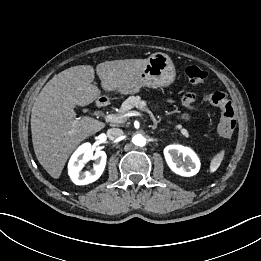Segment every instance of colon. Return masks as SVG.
<instances>
[{
	"label": "colon",
	"mask_w": 261,
	"mask_h": 261,
	"mask_svg": "<svg viewBox=\"0 0 261 261\" xmlns=\"http://www.w3.org/2000/svg\"><path fill=\"white\" fill-rule=\"evenodd\" d=\"M185 73L189 82L193 85H201L207 77V73L195 65L188 66ZM204 98L220 109L221 117L218 125V134L224 140H229L236 125L235 110L232 102L220 90L208 91Z\"/></svg>",
	"instance_id": "5ec220e1"
}]
</instances>
